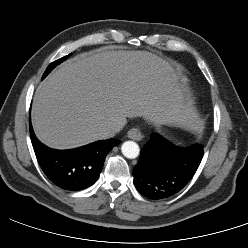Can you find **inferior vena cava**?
I'll return each instance as SVG.
<instances>
[{"label": "inferior vena cava", "instance_id": "602c4592", "mask_svg": "<svg viewBox=\"0 0 248 248\" xmlns=\"http://www.w3.org/2000/svg\"><path fill=\"white\" fill-rule=\"evenodd\" d=\"M123 127L118 125V124H115V125H112L110 127H108L107 131H106V135L108 137H112L114 136L115 134H117Z\"/></svg>", "mask_w": 248, "mask_h": 248}]
</instances>
